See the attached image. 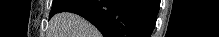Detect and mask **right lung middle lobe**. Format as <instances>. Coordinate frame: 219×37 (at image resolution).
Returning a JSON list of instances; mask_svg holds the SVG:
<instances>
[{"label":"right lung middle lobe","instance_id":"1","mask_svg":"<svg viewBox=\"0 0 219 37\" xmlns=\"http://www.w3.org/2000/svg\"><path fill=\"white\" fill-rule=\"evenodd\" d=\"M68 1L66 0H53L52 8L49 17H52L55 13H58L59 9Z\"/></svg>","mask_w":219,"mask_h":37}]
</instances>
